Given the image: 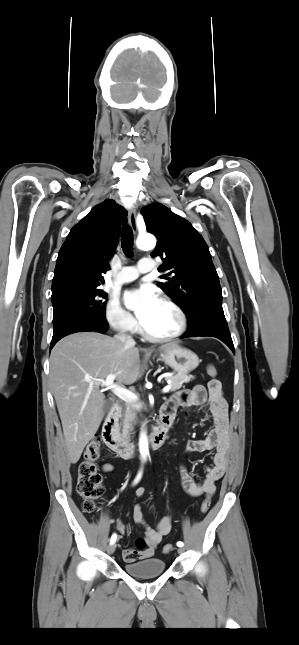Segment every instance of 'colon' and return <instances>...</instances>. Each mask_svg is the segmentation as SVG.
I'll list each match as a JSON object with an SVG mask.
<instances>
[{"label":"colon","mask_w":299,"mask_h":645,"mask_svg":"<svg viewBox=\"0 0 299 645\" xmlns=\"http://www.w3.org/2000/svg\"><path fill=\"white\" fill-rule=\"evenodd\" d=\"M207 371L213 379L209 382L208 387L211 390L221 389V383L215 377L216 369L212 364L207 366ZM100 454V441L98 438L92 439L85 447L83 460L78 468V477L76 483L77 493L84 499L83 510L86 513H93L96 509V501L102 496L104 487L102 477L96 466V460ZM211 501L206 498L201 505V512L206 513L210 508ZM137 547L143 549L145 543L143 540L137 542ZM174 549L173 545L166 544L163 547V553H169Z\"/></svg>","instance_id":"1"}]
</instances>
